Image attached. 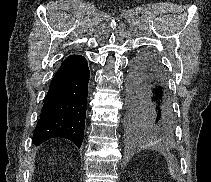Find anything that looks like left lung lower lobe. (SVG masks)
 Instances as JSON below:
<instances>
[{
  "label": "left lung lower lobe",
  "mask_w": 211,
  "mask_h": 182,
  "mask_svg": "<svg viewBox=\"0 0 211 182\" xmlns=\"http://www.w3.org/2000/svg\"><path fill=\"white\" fill-rule=\"evenodd\" d=\"M128 96L136 121L152 128L155 135L172 134L174 115L164 70L156 55L144 51L132 61L128 77Z\"/></svg>",
  "instance_id": "left-lung-lower-lobe-1"
}]
</instances>
